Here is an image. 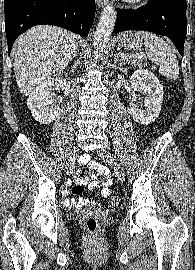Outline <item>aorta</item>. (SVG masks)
<instances>
[{
    "instance_id": "aorta-1",
    "label": "aorta",
    "mask_w": 195,
    "mask_h": 270,
    "mask_svg": "<svg viewBox=\"0 0 195 270\" xmlns=\"http://www.w3.org/2000/svg\"><path fill=\"white\" fill-rule=\"evenodd\" d=\"M117 18V12L113 5H107L103 9L94 34V57L103 56L105 47L110 39Z\"/></svg>"
}]
</instances>
